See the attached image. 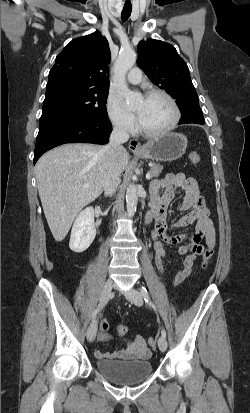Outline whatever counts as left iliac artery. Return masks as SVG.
<instances>
[{"label":"left iliac artery","mask_w":250,"mask_h":413,"mask_svg":"<svg viewBox=\"0 0 250 413\" xmlns=\"http://www.w3.org/2000/svg\"><path fill=\"white\" fill-rule=\"evenodd\" d=\"M141 294L145 300L146 303H148L155 311H156V306L154 305V303L151 301L149 293L147 291V289L145 287H142L140 289ZM161 334L163 337H166V331L164 329H162Z\"/></svg>","instance_id":"left-iliac-artery-1"}]
</instances>
